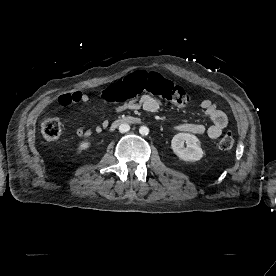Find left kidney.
<instances>
[{
	"label": "left kidney",
	"instance_id": "obj_1",
	"mask_svg": "<svg viewBox=\"0 0 276 276\" xmlns=\"http://www.w3.org/2000/svg\"><path fill=\"white\" fill-rule=\"evenodd\" d=\"M184 143L186 147H184ZM171 147L183 161H199L204 155L200 140L190 133L176 134L171 141Z\"/></svg>",
	"mask_w": 276,
	"mask_h": 276
}]
</instances>
